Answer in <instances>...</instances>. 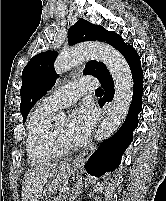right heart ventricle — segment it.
Wrapping results in <instances>:
<instances>
[{
    "instance_id": "obj_1",
    "label": "right heart ventricle",
    "mask_w": 166,
    "mask_h": 201,
    "mask_svg": "<svg viewBox=\"0 0 166 201\" xmlns=\"http://www.w3.org/2000/svg\"><path fill=\"white\" fill-rule=\"evenodd\" d=\"M54 111L42 104L34 109L29 117L26 150L32 166L47 164L59 155L49 136Z\"/></svg>"
}]
</instances>
